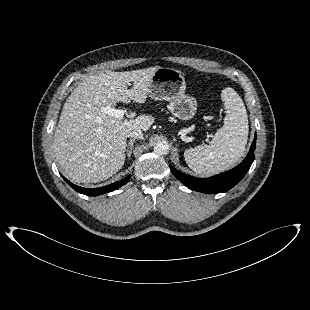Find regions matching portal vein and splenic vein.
<instances>
[{
    "instance_id": "1",
    "label": "portal vein and splenic vein",
    "mask_w": 310,
    "mask_h": 310,
    "mask_svg": "<svg viewBox=\"0 0 310 310\" xmlns=\"http://www.w3.org/2000/svg\"><path fill=\"white\" fill-rule=\"evenodd\" d=\"M103 112L106 114H109L113 117H115L116 119H123L124 115L126 114V111L123 109H115L114 107H110V106H106L103 109Z\"/></svg>"
}]
</instances>
